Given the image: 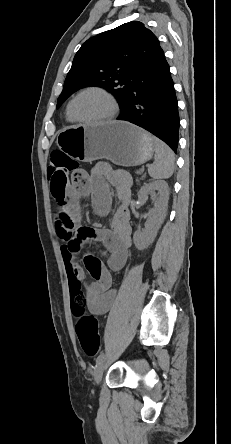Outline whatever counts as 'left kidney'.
Segmentation results:
<instances>
[{
  "label": "left kidney",
  "instance_id": "obj_1",
  "mask_svg": "<svg viewBox=\"0 0 231 444\" xmlns=\"http://www.w3.org/2000/svg\"><path fill=\"white\" fill-rule=\"evenodd\" d=\"M149 195L154 198V207L149 211L145 229L142 232L136 231L133 235L134 244L139 250H143L153 243L158 229L165 219L169 199L168 183L159 180L145 184L138 192V198L140 201H144Z\"/></svg>",
  "mask_w": 231,
  "mask_h": 444
}]
</instances>
